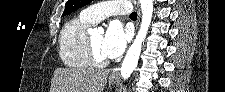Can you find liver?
Wrapping results in <instances>:
<instances>
[{
	"instance_id": "6515ba94",
	"label": "liver",
	"mask_w": 225,
	"mask_h": 92,
	"mask_svg": "<svg viewBox=\"0 0 225 92\" xmlns=\"http://www.w3.org/2000/svg\"><path fill=\"white\" fill-rule=\"evenodd\" d=\"M109 70L57 68L50 92H103Z\"/></svg>"
}]
</instances>
